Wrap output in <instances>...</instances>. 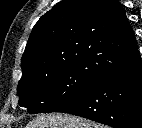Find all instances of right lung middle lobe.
<instances>
[{"label": "right lung middle lobe", "mask_w": 142, "mask_h": 128, "mask_svg": "<svg viewBox=\"0 0 142 128\" xmlns=\"http://www.w3.org/2000/svg\"><path fill=\"white\" fill-rule=\"evenodd\" d=\"M98 79L81 65L67 66L32 74L18 83L19 105L29 113L54 112Z\"/></svg>", "instance_id": "right-lung-middle-lobe-1"}]
</instances>
